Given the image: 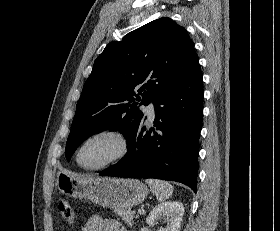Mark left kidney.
<instances>
[{
	"label": "left kidney",
	"instance_id": "5707ae66",
	"mask_svg": "<svg viewBox=\"0 0 280 231\" xmlns=\"http://www.w3.org/2000/svg\"><path fill=\"white\" fill-rule=\"evenodd\" d=\"M184 215V205L181 201H164L154 207L149 213L146 221L148 225H155L158 219L166 221V227H160L157 231H180L182 217Z\"/></svg>",
	"mask_w": 280,
	"mask_h": 231
}]
</instances>
